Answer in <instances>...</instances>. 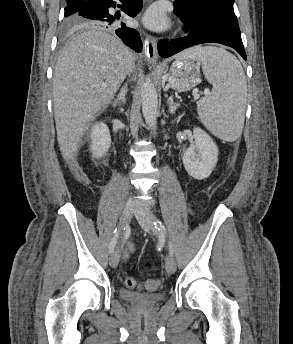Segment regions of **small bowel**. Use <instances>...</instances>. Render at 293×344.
I'll use <instances>...</instances> for the list:
<instances>
[{
    "mask_svg": "<svg viewBox=\"0 0 293 344\" xmlns=\"http://www.w3.org/2000/svg\"><path fill=\"white\" fill-rule=\"evenodd\" d=\"M129 251H133V246L130 245L128 249L125 251L124 255L126 256Z\"/></svg>",
    "mask_w": 293,
    "mask_h": 344,
    "instance_id": "obj_1",
    "label": "small bowel"
}]
</instances>
